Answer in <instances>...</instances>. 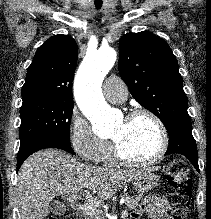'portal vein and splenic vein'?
Here are the masks:
<instances>
[{"label":"portal vein and splenic vein","instance_id":"obj_1","mask_svg":"<svg viewBox=\"0 0 211 219\" xmlns=\"http://www.w3.org/2000/svg\"><path fill=\"white\" fill-rule=\"evenodd\" d=\"M81 197L77 196V195H70L68 200L71 204L76 205L80 210H82L83 212H85L86 214L95 217L96 219H99V215L101 212H99L98 210H96L95 208H92L90 206L87 205H82L77 203V201L80 199ZM128 212L127 210L122 211L121 213V217L125 218L127 217Z\"/></svg>","mask_w":211,"mask_h":219}]
</instances>
